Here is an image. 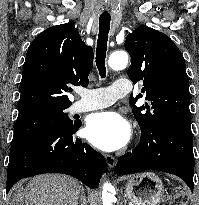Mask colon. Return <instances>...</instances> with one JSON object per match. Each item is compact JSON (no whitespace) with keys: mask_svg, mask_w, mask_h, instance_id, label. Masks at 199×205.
Returning <instances> with one entry per match:
<instances>
[{"mask_svg":"<svg viewBox=\"0 0 199 205\" xmlns=\"http://www.w3.org/2000/svg\"><path fill=\"white\" fill-rule=\"evenodd\" d=\"M186 201V192L183 188H177L173 195L165 196L159 205H183Z\"/></svg>","mask_w":199,"mask_h":205,"instance_id":"obj_1","label":"colon"}]
</instances>
